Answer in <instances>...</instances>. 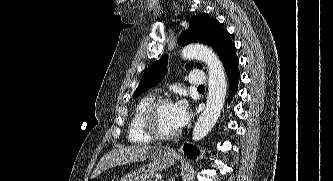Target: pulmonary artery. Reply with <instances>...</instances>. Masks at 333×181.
Here are the masks:
<instances>
[{"label":"pulmonary artery","mask_w":333,"mask_h":181,"mask_svg":"<svg viewBox=\"0 0 333 181\" xmlns=\"http://www.w3.org/2000/svg\"><path fill=\"white\" fill-rule=\"evenodd\" d=\"M206 81V76L202 71L192 72L189 75V84L192 86H199L204 84Z\"/></svg>","instance_id":"pulmonary-artery-1"}]
</instances>
